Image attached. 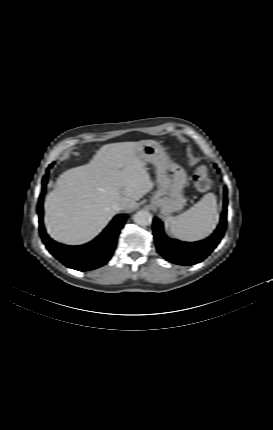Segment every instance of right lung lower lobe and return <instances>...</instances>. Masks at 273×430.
<instances>
[{
	"label": "right lung lower lobe",
	"instance_id": "right-lung-lower-lobe-1",
	"mask_svg": "<svg viewBox=\"0 0 273 430\" xmlns=\"http://www.w3.org/2000/svg\"><path fill=\"white\" fill-rule=\"evenodd\" d=\"M42 184L43 191H45L46 176L43 177ZM43 199L44 196L41 194L37 209L39 231L42 241L49 252L65 266L79 271L96 269L106 264L115 250L119 231L123 227L127 215H117L109 226L92 242L81 246H66L55 242L45 232L43 226Z\"/></svg>",
	"mask_w": 273,
	"mask_h": 430
}]
</instances>
